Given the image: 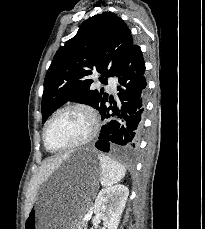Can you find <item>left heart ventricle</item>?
<instances>
[{
	"mask_svg": "<svg viewBox=\"0 0 205 229\" xmlns=\"http://www.w3.org/2000/svg\"><path fill=\"white\" fill-rule=\"evenodd\" d=\"M90 128L89 118L79 110L60 114L49 128L47 139L53 148H60L84 138Z\"/></svg>",
	"mask_w": 205,
	"mask_h": 229,
	"instance_id": "obj_1",
	"label": "left heart ventricle"
}]
</instances>
